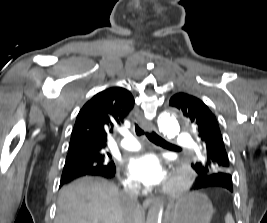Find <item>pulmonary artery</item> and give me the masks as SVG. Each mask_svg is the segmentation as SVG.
I'll return each mask as SVG.
<instances>
[{"instance_id": "pulmonary-artery-1", "label": "pulmonary artery", "mask_w": 267, "mask_h": 223, "mask_svg": "<svg viewBox=\"0 0 267 223\" xmlns=\"http://www.w3.org/2000/svg\"><path fill=\"white\" fill-rule=\"evenodd\" d=\"M176 143L180 146H189V143L185 138L178 139ZM120 144L123 148L129 151H136L141 148L140 142L132 134H126Z\"/></svg>"}]
</instances>
